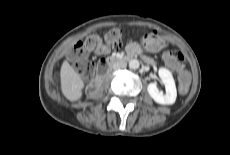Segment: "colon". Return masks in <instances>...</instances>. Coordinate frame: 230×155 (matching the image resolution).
<instances>
[{
  "label": "colon",
  "instance_id": "5ec220e1",
  "mask_svg": "<svg viewBox=\"0 0 230 155\" xmlns=\"http://www.w3.org/2000/svg\"><path fill=\"white\" fill-rule=\"evenodd\" d=\"M150 41H153L160 46L164 44L161 36L153 32L146 36ZM123 37L119 29L109 30L105 35V43L112 48H119L122 45ZM100 45V38L96 35H91L84 40L78 41L68 53V57L75 63L78 72L84 76L91 77L95 72L94 63L87 60V53L96 49ZM176 58L181 64L185 63V57L181 52H176ZM188 69H180V79L178 88L180 93H186L189 86Z\"/></svg>",
  "mask_w": 230,
  "mask_h": 155
}]
</instances>
